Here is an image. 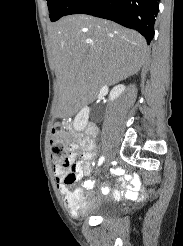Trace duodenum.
<instances>
[{"label":"duodenum","mask_w":183,"mask_h":246,"mask_svg":"<svg viewBox=\"0 0 183 246\" xmlns=\"http://www.w3.org/2000/svg\"><path fill=\"white\" fill-rule=\"evenodd\" d=\"M86 132H87L89 135H94V134H95V128H94V126L90 124V125L87 127Z\"/></svg>","instance_id":"obj_1"}]
</instances>
